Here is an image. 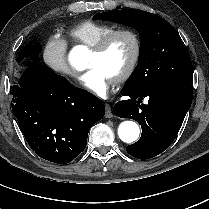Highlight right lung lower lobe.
Returning a JSON list of instances; mask_svg holds the SVG:
<instances>
[{"label": "right lung lower lobe", "instance_id": "1", "mask_svg": "<svg viewBox=\"0 0 209 209\" xmlns=\"http://www.w3.org/2000/svg\"><path fill=\"white\" fill-rule=\"evenodd\" d=\"M12 112L30 148L66 164L86 147L90 128L104 117L101 100L45 65H32L11 87Z\"/></svg>", "mask_w": 209, "mask_h": 209}]
</instances>
